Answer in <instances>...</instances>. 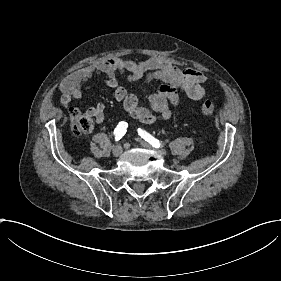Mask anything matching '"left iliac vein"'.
Instances as JSON below:
<instances>
[{
    "label": "left iliac vein",
    "mask_w": 281,
    "mask_h": 281,
    "mask_svg": "<svg viewBox=\"0 0 281 281\" xmlns=\"http://www.w3.org/2000/svg\"><path fill=\"white\" fill-rule=\"evenodd\" d=\"M143 147L146 148V149L148 148L150 150L154 149V151L158 152L159 156H162V155L166 156L167 155V152L165 150H158L157 148L151 146V144H149L148 142L143 143Z\"/></svg>",
    "instance_id": "4c4485c4"
}]
</instances>
